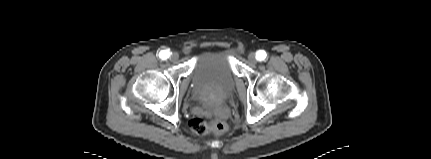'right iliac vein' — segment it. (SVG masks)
I'll use <instances>...</instances> for the list:
<instances>
[{
    "label": "right iliac vein",
    "instance_id": "1",
    "mask_svg": "<svg viewBox=\"0 0 431 159\" xmlns=\"http://www.w3.org/2000/svg\"><path fill=\"white\" fill-rule=\"evenodd\" d=\"M178 58H179V55L176 52L172 53L170 56V60H172V61H177Z\"/></svg>",
    "mask_w": 431,
    "mask_h": 159
}]
</instances>
